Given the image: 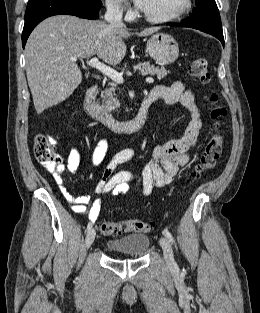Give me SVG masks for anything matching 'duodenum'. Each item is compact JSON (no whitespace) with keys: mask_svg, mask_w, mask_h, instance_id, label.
<instances>
[{"mask_svg":"<svg viewBox=\"0 0 260 313\" xmlns=\"http://www.w3.org/2000/svg\"><path fill=\"white\" fill-rule=\"evenodd\" d=\"M98 85L91 86L84 96V108L87 113L98 122L110 127L118 133L133 134L138 132L144 125L148 109L153 103L151 97H146L139 105L136 116L127 121H119L110 115L106 109L100 107L97 103L96 96Z\"/></svg>","mask_w":260,"mask_h":313,"instance_id":"410a0bca","label":"duodenum"}]
</instances>
